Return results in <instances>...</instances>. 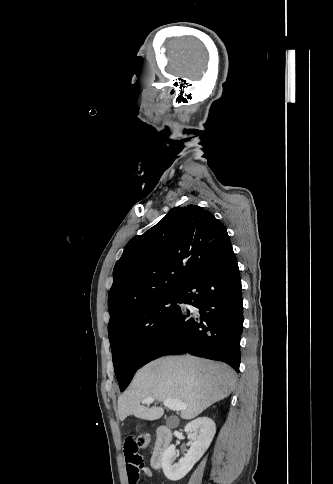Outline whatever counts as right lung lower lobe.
Listing matches in <instances>:
<instances>
[{
	"label": "right lung lower lobe",
	"instance_id": "1",
	"mask_svg": "<svg viewBox=\"0 0 333 484\" xmlns=\"http://www.w3.org/2000/svg\"><path fill=\"white\" fill-rule=\"evenodd\" d=\"M178 303L137 369L160 356L189 353L224 361L239 372L243 302L231 245L179 292Z\"/></svg>",
	"mask_w": 333,
	"mask_h": 484
}]
</instances>
